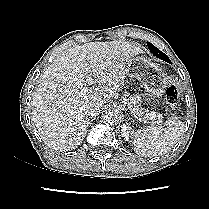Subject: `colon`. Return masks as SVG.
Listing matches in <instances>:
<instances>
[{
  "mask_svg": "<svg viewBox=\"0 0 209 209\" xmlns=\"http://www.w3.org/2000/svg\"><path fill=\"white\" fill-rule=\"evenodd\" d=\"M182 92L175 84H170L166 90V103L169 107L174 108L180 104Z\"/></svg>",
  "mask_w": 209,
  "mask_h": 209,
  "instance_id": "colon-1",
  "label": "colon"
}]
</instances>
